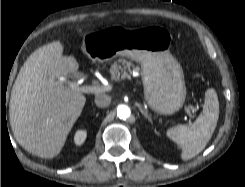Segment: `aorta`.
<instances>
[{"label":"aorta","mask_w":245,"mask_h":187,"mask_svg":"<svg viewBox=\"0 0 245 187\" xmlns=\"http://www.w3.org/2000/svg\"><path fill=\"white\" fill-rule=\"evenodd\" d=\"M131 114L130 108L126 105H119L117 108V116L120 119H127Z\"/></svg>","instance_id":"762f6f07"}]
</instances>
